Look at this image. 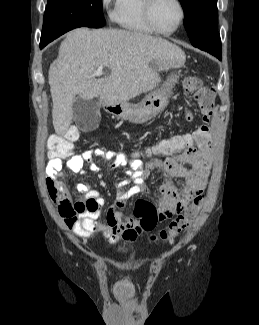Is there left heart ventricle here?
Masks as SVG:
<instances>
[{
  "instance_id": "b2bd125f",
  "label": "left heart ventricle",
  "mask_w": 259,
  "mask_h": 325,
  "mask_svg": "<svg viewBox=\"0 0 259 325\" xmlns=\"http://www.w3.org/2000/svg\"><path fill=\"white\" fill-rule=\"evenodd\" d=\"M152 16L156 26L163 31L172 30L180 17L175 0H155Z\"/></svg>"
}]
</instances>
